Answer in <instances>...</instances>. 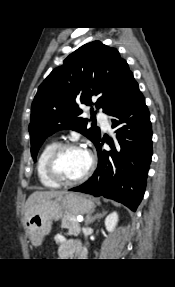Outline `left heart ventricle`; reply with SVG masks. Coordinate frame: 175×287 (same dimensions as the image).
<instances>
[{
    "label": "left heart ventricle",
    "mask_w": 175,
    "mask_h": 287,
    "mask_svg": "<svg viewBox=\"0 0 175 287\" xmlns=\"http://www.w3.org/2000/svg\"><path fill=\"white\" fill-rule=\"evenodd\" d=\"M89 154L83 149H67L57 161V170L61 177L67 180L79 178L88 169Z\"/></svg>",
    "instance_id": "b2bd125f"
}]
</instances>
